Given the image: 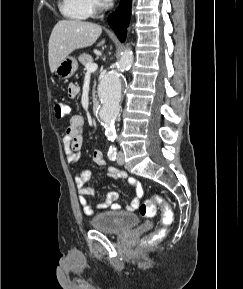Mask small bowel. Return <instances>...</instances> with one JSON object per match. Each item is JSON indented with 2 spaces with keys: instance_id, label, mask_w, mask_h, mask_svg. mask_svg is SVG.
<instances>
[{
  "instance_id": "1",
  "label": "small bowel",
  "mask_w": 243,
  "mask_h": 289,
  "mask_svg": "<svg viewBox=\"0 0 243 289\" xmlns=\"http://www.w3.org/2000/svg\"><path fill=\"white\" fill-rule=\"evenodd\" d=\"M67 93L70 98H75L79 93V86L75 83H70L67 88ZM84 124V117L80 114H74L69 119V125L62 140L65 158L69 163H80V150L84 141ZM92 160L98 167L105 166V160L100 150H94L92 154ZM107 176L110 179H126L128 184L134 188L135 196L131 203L126 207V209L128 211L136 210L140 205L141 198L143 197L142 184L134 177H130L124 171L114 167L107 169ZM90 178V171L83 166H79V174L75 177V181L79 192V203L86 215L94 214V209L87 199L88 196L94 194V189L88 186ZM117 200L118 194L114 191H111L107 194L105 201L97 204L96 208L101 211L107 209L119 210L121 207L117 203Z\"/></svg>"
}]
</instances>
